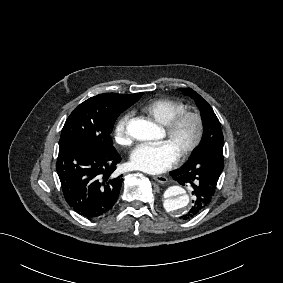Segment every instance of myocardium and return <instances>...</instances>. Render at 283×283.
<instances>
[{"label": "myocardium", "mask_w": 283, "mask_h": 283, "mask_svg": "<svg viewBox=\"0 0 283 283\" xmlns=\"http://www.w3.org/2000/svg\"><path fill=\"white\" fill-rule=\"evenodd\" d=\"M192 119L195 123V134L190 143L180 153V159H186L194 153L200 146L204 135V121L202 115L197 111L185 110L174 117L165 125V131L168 136L174 135L183 122Z\"/></svg>", "instance_id": "f54148a6"}]
</instances>
